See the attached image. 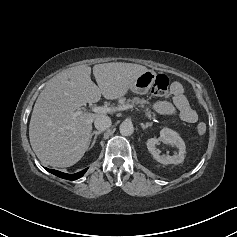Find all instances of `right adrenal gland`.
Listing matches in <instances>:
<instances>
[{"label": "right adrenal gland", "instance_id": "obj_1", "mask_svg": "<svg viewBox=\"0 0 237 237\" xmlns=\"http://www.w3.org/2000/svg\"><path fill=\"white\" fill-rule=\"evenodd\" d=\"M103 131H93L91 134H90V137H89V141H88V146L90 145V142H91V139L92 137L94 136V139L92 141V144L89 148H92L94 145H95V142H96V139H97V136L99 134H101Z\"/></svg>", "mask_w": 237, "mask_h": 237}]
</instances>
